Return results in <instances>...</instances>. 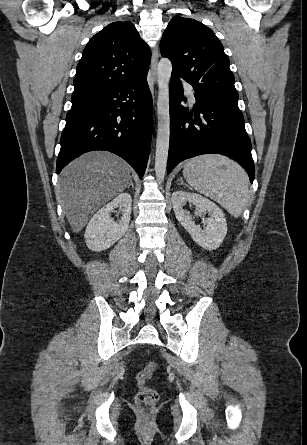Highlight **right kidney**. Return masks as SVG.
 <instances>
[{"instance_id": "right-kidney-1", "label": "right kidney", "mask_w": 307, "mask_h": 445, "mask_svg": "<svg viewBox=\"0 0 307 445\" xmlns=\"http://www.w3.org/2000/svg\"><path fill=\"white\" fill-rule=\"evenodd\" d=\"M131 206L132 198L128 192H122L112 202L102 206L89 220L85 231L84 239L88 249H91V251H105V249L112 247L118 239H121L128 231ZM114 208L122 210V218L119 223H115V220L110 218V212Z\"/></svg>"}]
</instances>
